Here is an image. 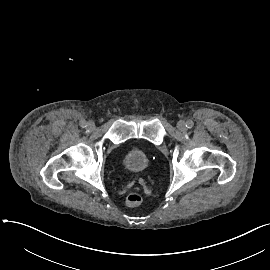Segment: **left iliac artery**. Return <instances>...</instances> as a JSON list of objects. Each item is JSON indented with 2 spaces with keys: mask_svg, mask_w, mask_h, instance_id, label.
<instances>
[{
  "mask_svg": "<svg viewBox=\"0 0 270 270\" xmlns=\"http://www.w3.org/2000/svg\"><path fill=\"white\" fill-rule=\"evenodd\" d=\"M193 125H194V123H193V121H191V120H188V121L186 122V127H187V128H192Z\"/></svg>",
  "mask_w": 270,
  "mask_h": 270,
  "instance_id": "1",
  "label": "left iliac artery"
}]
</instances>
